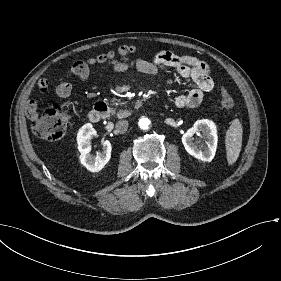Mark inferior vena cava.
<instances>
[{"instance_id":"obj_1","label":"inferior vena cava","mask_w":281,"mask_h":281,"mask_svg":"<svg viewBox=\"0 0 281 281\" xmlns=\"http://www.w3.org/2000/svg\"><path fill=\"white\" fill-rule=\"evenodd\" d=\"M128 125H129V123L127 120H120L116 123V130L120 134H124L128 129Z\"/></svg>"}]
</instances>
